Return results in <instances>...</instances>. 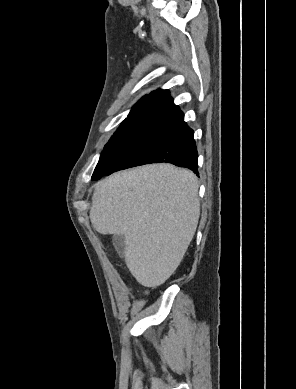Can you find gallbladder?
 I'll return each instance as SVG.
<instances>
[{"label": "gallbladder", "mask_w": 296, "mask_h": 389, "mask_svg": "<svg viewBox=\"0 0 296 389\" xmlns=\"http://www.w3.org/2000/svg\"><path fill=\"white\" fill-rule=\"evenodd\" d=\"M112 243L120 257H123L126 251V243L124 235H114L112 237Z\"/></svg>", "instance_id": "bac80fb5"}]
</instances>
